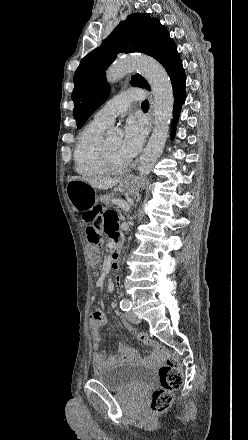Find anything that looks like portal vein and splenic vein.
<instances>
[{"instance_id":"obj_1","label":"portal vein and splenic vein","mask_w":248,"mask_h":440,"mask_svg":"<svg viewBox=\"0 0 248 440\" xmlns=\"http://www.w3.org/2000/svg\"><path fill=\"white\" fill-rule=\"evenodd\" d=\"M113 203L117 204L120 208H122L125 211H127L130 208V206L127 202L120 200V199H115L113 201Z\"/></svg>"}]
</instances>
